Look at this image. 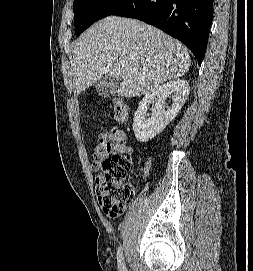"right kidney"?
<instances>
[{"instance_id": "1", "label": "right kidney", "mask_w": 253, "mask_h": 271, "mask_svg": "<svg viewBox=\"0 0 253 271\" xmlns=\"http://www.w3.org/2000/svg\"><path fill=\"white\" fill-rule=\"evenodd\" d=\"M190 87L187 81L177 79L164 83L143 97L140 101L133 119V131L140 142H147L154 138L175 118L189 96ZM172 95L173 103L165 110V99ZM155 105L152 108V117L145 120L147 110L152 101Z\"/></svg>"}]
</instances>
